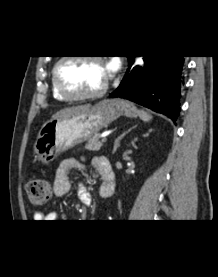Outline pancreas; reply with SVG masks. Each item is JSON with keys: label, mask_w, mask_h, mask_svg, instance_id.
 Segmentation results:
<instances>
[{"label": "pancreas", "mask_w": 218, "mask_h": 277, "mask_svg": "<svg viewBox=\"0 0 218 277\" xmlns=\"http://www.w3.org/2000/svg\"><path fill=\"white\" fill-rule=\"evenodd\" d=\"M99 138V135H96L93 138H91L85 145V149L89 151H99L103 145L102 142H100Z\"/></svg>", "instance_id": "pancreas-1"}]
</instances>
